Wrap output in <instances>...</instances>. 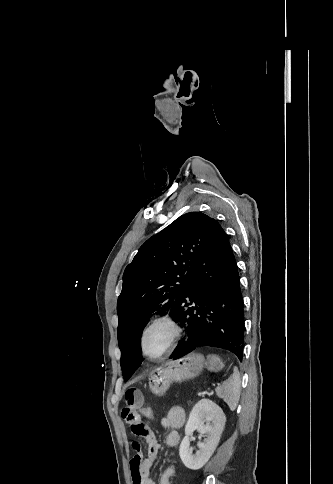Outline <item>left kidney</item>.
I'll return each instance as SVG.
<instances>
[{
  "instance_id": "5707ae66",
  "label": "left kidney",
  "mask_w": 333,
  "mask_h": 484,
  "mask_svg": "<svg viewBox=\"0 0 333 484\" xmlns=\"http://www.w3.org/2000/svg\"><path fill=\"white\" fill-rule=\"evenodd\" d=\"M206 422V423H205ZM226 422L222 409L209 399H201L193 407L185 426L179 455L183 464L192 470L202 468L218 446ZM195 430L206 435L203 442H198L199 450L195 455L190 450V436Z\"/></svg>"
}]
</instances>
